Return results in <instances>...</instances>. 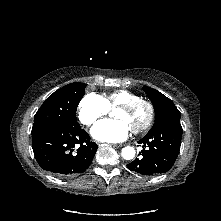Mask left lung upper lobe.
<instances>
[{"label": "left lung upper lobe", "mask_w": 221, "mask_h": 221, "mask_svg": "<svg viewBox=\"0 0 221 221\" xmlns=\"http://www.w3.org/2000/svg\"><path fill=\"white\" fill-rule=\"evenodd\" d=\"M143 90L148 95L155 109L156 119L150 131L162 126H181L180 112L169 98L148 86H144Z\"/></svg>", "instance_id": "left-lung-upper-lobe-1"}]
</instances>
